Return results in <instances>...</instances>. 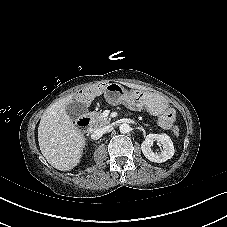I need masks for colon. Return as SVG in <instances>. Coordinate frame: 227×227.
<instances>
[{
	"label": "colon",
	"instance_id": "obj_1",
	"mask_svg": "<svg viewBox=\"0 0 227 227\" xmlns=\"http://www.w3.org/2000/svg\"><path fill=\"white\" fill-rule=\"evenodd\" d=\"M97 97H98L97 95H93V96H92L93 99H96Z\"/></svg>",
	"mask_w": 227,
	"mask_h": 227
}]
</instances>
